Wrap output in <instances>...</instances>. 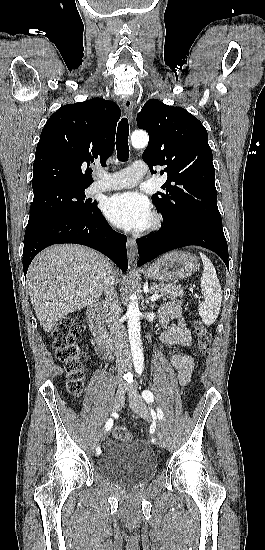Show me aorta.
Returning a JSON list of instances; mask_svg holds the SVG:
<instances>
[{
  "instance_id": "762f6f07",
  "label": "aorta",
  "mask_w": 265,
  "mask_h": 550,
  "mask_svg": "<svg viewBox=\"0 0 265 550\" xmlns=\"http://www.w3.org/2000/svg\"><path fill=\"white\" fill-rule=\"evenodd\" d=\"M149 137L147 133L138 131L131 135V143L134 148H143L148 144ZM128 334L133 357L134 367L137 373H142L144 368V357L141 345V327L140 310L135 295L131 296V301L127 310Z\"/></svg>"
}]
</instances>
